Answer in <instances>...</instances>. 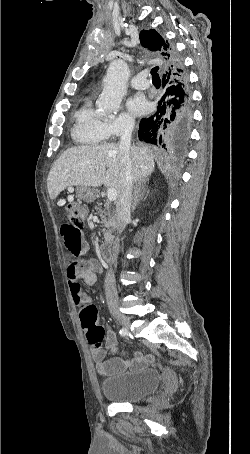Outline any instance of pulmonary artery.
<instances>
[{
    "label": "pulmonary artery",
    "instance_id": "pulmonary-artery-1",
    "mask_svg": "<svg viewBox=\"0 0 250 454\" xmlns=\"http://www.w3.org/2000/svg\"><path fill=\"white\" fill-rule=\"evenodd\" d=\"M150 85V81L146 79L144 74H140L134 77L131 81V87L136 90H144L147 89Z\"/></svg>",
    "mask_w": 250,
    "mask_h": 454
}]
</instances>
